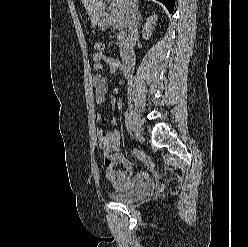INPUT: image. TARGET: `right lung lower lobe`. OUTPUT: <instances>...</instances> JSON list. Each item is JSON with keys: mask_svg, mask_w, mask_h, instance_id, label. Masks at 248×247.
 Instances as JSON below:
<instances>
[{"mask_svg": "<svg viewBox=\"0 0 248 247\" xmlns=\"http://www.w3.org/2000/svg\"><path fill=\"white\" fill-rule=\"evenodd\" d=\"M158 1L162 2L170 13L173 12L175 0H158Z\"/></svg>", "mask_w": 248, "mask_h": 247, "instance_id": "98d812e1", "label": "right lung lower lobe"}]
</instances>
